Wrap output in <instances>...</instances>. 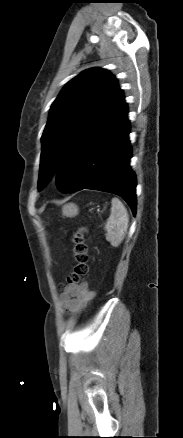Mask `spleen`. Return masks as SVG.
Listing matches in <instances>:
<instances>
[{
    "mask_svg": "<svg viewBox=\"0 0 183 438\" xmlns=\"http://www.w3.org/2000/svg\"><path fill=\"white\" fill-rule=\"evenodd\" d=\"M111 204V213L104 228L107 231L106 240L113 247H118L127 233L129 215L124 204L118 198H113Z\"/></svg>",
    "mask_w": 183,
    "mask_h": 438,
    "instance_id": "3e777b00",
    "label": "spleen"
}]
</instances>
